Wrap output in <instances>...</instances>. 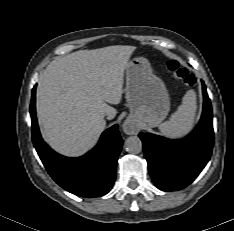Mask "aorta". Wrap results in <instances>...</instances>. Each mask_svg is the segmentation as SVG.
I'll list each match as a JSON object with an SVG mask.
<instances>
[{
	"label": "aorta",
	"instance_id": "aorta-1",
	"mask_svg": "<svg viewBox=\"0 0 234 231\" xmlns=\"http://www.w3.org/2000/svg\"><path fill=\"white\" fill-rule=\"evenodd\" d=\"M125 149L131 154H138L142 151V141L138 136H130L125 140Z\"/></svg>",
	"mask_w": 234,
	"mask_h": 231
}]
</instances>
